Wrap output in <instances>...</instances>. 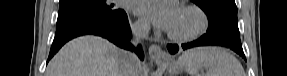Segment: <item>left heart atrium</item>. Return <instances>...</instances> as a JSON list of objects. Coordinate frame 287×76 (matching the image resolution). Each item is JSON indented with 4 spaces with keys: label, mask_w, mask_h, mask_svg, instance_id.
<instances>
[{
    "label": "left heart atrium",
    "mask_w": 287,
    "mask_h": 76,
    "mask_svg": "<svg viewBox=\"0 0 287 76\" xmlns=\"http://www.w3.org/2000/svg\"><path fill=\"white\" fill-rule=\"evenodd\" d=\"M133 11L159 28L169 30L173 25L179 7L173 0H136Z\"/></svg>",
    "instance_id": "39dd6f15"
}]
</instances>
